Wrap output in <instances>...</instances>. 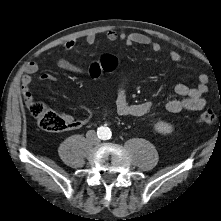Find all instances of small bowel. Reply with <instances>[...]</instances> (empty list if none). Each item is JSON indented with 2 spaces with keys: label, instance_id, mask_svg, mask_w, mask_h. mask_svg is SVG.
I'll list each match as a JSON object with an SVG mask.
<instances>
[{
  "label": "small bowel",
  "instance_id": "obj_1",
  "mask_svg": "<svg viewBox=\"0 0 221 221\" xmlns=\"http://www.w3.org/2000/svg\"><path fill=\"white\" fill-rule=\"evenodd\" d=\"M106 39L110 42H115L117 40L124 41L127 45H146L153 52L160 53L163 51L162 46L153 41L150 37L140 33H130V34H119L115 30H108L105 33ZM85 41L89 45H93L97 41V36L95 34H88ZM76 46V41L74 39L67 40L63 49L65 51H70ZM168 58L175 63L182 62L181 55L176 51H169ZM57 66L67 72L77 74V75H90V65L88 67H82L77 65L65 58H59L56 61ZM38 65L35 62H28L25 65V74L22 77V95L25 102L28 103L33 100L30 87L33 83L32 75L38 72ZM91 76V75H90ZM38 81H56V77L49 73H43L38 77ZM126 80L120 84L117 94H116V110L121 116H132L141 117L147 114L151 108L152 103L150 101L140 102V103H130L127 97L126 91ZM208 76L206 74H200L198 76V85L189 86L184 83H180L175 87V93L180 98H175L170 100L166 104V109L171 113H179L183 110L188 111H199L202 110L206 101L203 98V94L207 91ZM64 118L68 123V128H77L82 125L81 121L75 120L71 115L64 114Z\"/></svg>",
  "mask_w": 221,
  "mask_h": 221
}]
</instances>
